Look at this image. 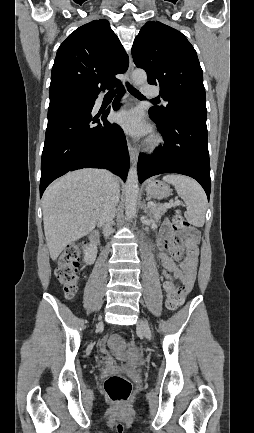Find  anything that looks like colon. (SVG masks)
I'll return each mask as SVG.
<instances>
[{"mask_svg": "<svg viewBox=\"0 0 254 433\" xmlns=\"http://www.w3.org/2000/svg\"><path fill=\"white\" fill-rule=\"evenodd\" d=\"M172 223L175 228L186 231L189 235H196V231L190 227L180 212H176L172 217ZM81 258V250L76 246L66 248L58 259L56 276L63 286L66 297L72 298L78 291L80 285L79 262ZM181 296L179 290L175 287H170L167 290V306L174 310L181 304ZM115 347H121L123 341L121 337L114 336L110 340ZM127 360L131 364L139 362L138 352L130 354ZM104 390L108 398L115 403L125 402L131 392V382L118 375L108 377L104 382Z\"/></svg>", "mask_w": 254, "mask_h": 433, "instance_id": "colon-1", "label": "colon"}]
</instances>
